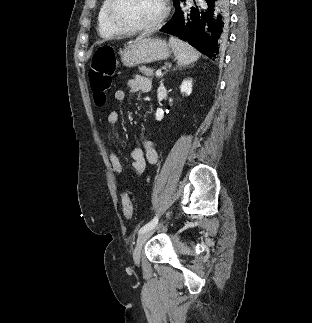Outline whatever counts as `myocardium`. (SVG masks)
I'll use <instances>...</instances> for the list:
<instances>
[{
	"instance_id": "f54148a6",
	"label": "myocardium",
	"mask_w": 312,
	"mask_h": 323,
	"mask_svg": "<svg viewBox=\"0 0 312 323\" xmlns=\"http://www.w3.org/2000/svg\"><path fill=\"white\" fill-rule=\"evenodd\" d=\"M106 16L108 21H114L113 31H149V27H155V25H164L165 21H168L170 11L172 8L171 0H158L161 8L158 18H152L151 20H123L118 18L116 11L120 6L117 0H106Z\"/></svg>"
}]
</instances>
